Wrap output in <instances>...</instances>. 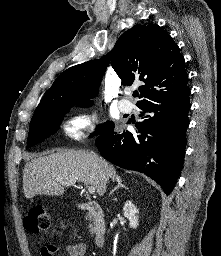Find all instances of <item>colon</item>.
I'll return each mask as SVG.
<instances>
[{"mask_svg":"<svg viewBox=\"0 0 221 256\" xmlns=\"http://www.w3.org/2000/svg\"><path fill=\"white\" fill-rule=\"evenodd\" d=\"M24 226L29 232H48L51 228V219L47 210L41 205L32 207L24 219Z\"/></svg>","mask_w":221,"mask_h":256,"instance_id":"obj_1","label":"colon"}]
</instances>
